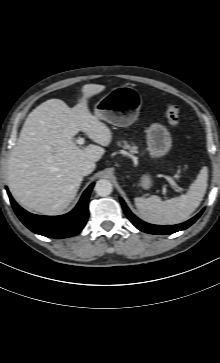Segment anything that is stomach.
<instances>
[{
  "label": "stomach",
  "instance_id": "obj_1",
  "mask_svg": "<svg viewBox=\"0 0 220 363\" xmlns=\"http://www.w3.org/2000/svg\"><path fill=\"white\" fill-rule=\"evenodd\" d=\"M142 103V95L136 89L120 86L113 88L95 104L94 115L115 126L126 127L137 120ZM146 143L150 156L160 158L171 149L172 139L166 127L153 123L146 130ZM140 184L142 188L149 189L153 184L151 176L143 174Z\"/></svg>",
  "mask_w": 220,
  "mask_h": 363
}]
</instances>
